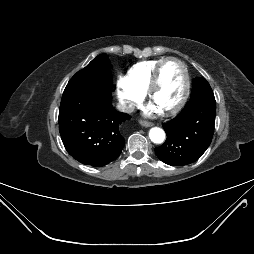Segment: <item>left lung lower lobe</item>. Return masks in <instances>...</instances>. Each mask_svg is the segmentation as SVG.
Here are the masks:
<instances>
[{
	"label": "left lung lower lobe",
	"mask_w": 254,
	"mask_h": 254,
	"mask_svg": "<svg viewBox=\"0 0 254 254\" xmlns=\"http://www.w3.org/2000/svg\"><path fill=\"white\" fill-rule=\"evenodd\" d=\"M216 102L188 101L179 115L163 124L165 143L155 148L156 155L171 166L190 164L199 159L214 133Z\"/></svg>",
	"instance_id": "0a47b994"
}]
</instances>
